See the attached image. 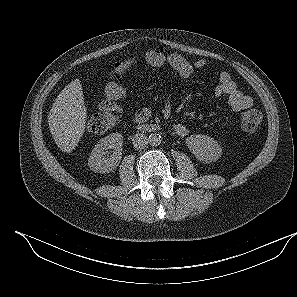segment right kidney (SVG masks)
Wrapping results in <instances>:
<instances>
[{"label": "right kidney", "instance_id": "ca27d5eb", "mask_svg": "<svg viewBox=\"0 0 297 297\" xmlns=\"http://www.w3.org/2000/svg\"><path fill=\"white\" fill-rule=\"evenodd\" d=\"M123 136L112 133L102 138L92 150L88 165L94 172L109 173L115 169L122 158ZM113 149L111 153L107 150Z\"/></svg>", "mask_w": 297, "mask_h": 297}]
</instances>
